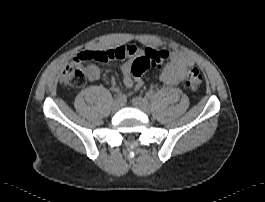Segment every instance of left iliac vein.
Instances as JSON below:
<instances>
[{"label":"left iliac vein","mask_w":265,"mask_h":202,"mask_svg":"<svg viewBox=\"0 0 265 202\" xmlns=\"http://www.w3.org/2000/svg\"><path fill=\"white\" fill-rule=\"evenodd\" d=\"M132 103L135 107L139 108L143 112H145L147 115L151 112V106L149 101L146 98L142 97H134L132 100Z\"/></svg>","instance_id":"1"}]
</instances>
